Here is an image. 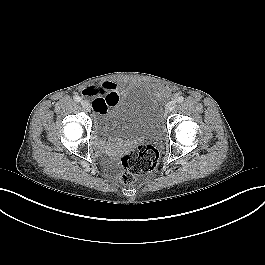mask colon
Listing matches in <instances>:
<instances>
[{"label":"colon","instance_id":"obj_1","mask_svg":"<svg viewBox=\"0 0 265 265\" xmlns=\"http://www.w3.org/2000/svg\"><path fill=\"white\" fill-rule=\"evenodd\" d=\"M158 162L159 152L154 146H137L120 158V181L123 184H129L137 176L153 171Z\"/></svg>","mask_w":265,"mask_h":265}]
</instances>
